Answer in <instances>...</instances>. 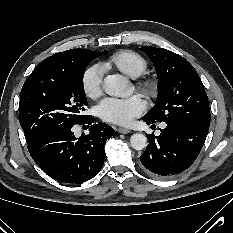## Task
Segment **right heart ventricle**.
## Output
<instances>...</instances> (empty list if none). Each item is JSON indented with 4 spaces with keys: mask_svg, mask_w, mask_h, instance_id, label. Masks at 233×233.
<instances>
[{
    "mask_svg": "<svg viewBox=\"0 0 233 233\" xmlns=\"http://www.w3.org/2000/svg\"><path fill=\"white\" fill-rule=\"evenodd\" d=\"M104 66L105 68H116L131 78H138L147 70L146 60L131 50H122L114 53Z\"/></svg>",
    "mask_w": 233,
    "mask_h": 233,
    "instance_id": "e07e8e85",
    "label": "right heart ventricle"
}]
</instances>
